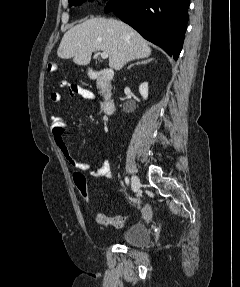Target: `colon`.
Masks as SVG:
<instances>
[{"instance_id": "obj_1", "label": "colon", "mask_w": 240, "mask_h": 287, "mask_svg": "<svg viewBox=\"0 0 240 287\" xmlns=\"http://www.w3.org/2000/svg\"><path fill=\"white\" fill-rule=\"evenodd\" d=\"M55 69L54 64L49 65V70L53 71ZM67 84V83H65ZM73 86V85H70ZM50 127L52 134L54 135H63L66 128H67V121L66 119L59 113H55L50 120ZM73 181L74 184L79 191L82 199L88 204H91L90 194L87 189L86 179L85 176L80 172H75L73 174ZM95 219L97 223L104 225V226H112L115 228H121L125 221V216H114V217H107L102 213H96Z\"/></svg>"}]
</instances>
